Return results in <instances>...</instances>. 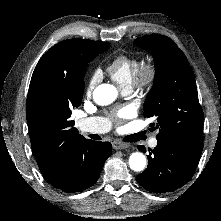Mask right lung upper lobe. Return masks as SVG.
Masks as SVG:
<instances>
[{
    "label": "right lung upper lobe",
    "instance_id": "1",
    "mask_svg": "<svg viewBox=\"0 0 221 221\" xmlns=\"http://www.w3.org/2000/svg\"><path fill=\"white\" fill-rule=\"evenodd\" d=\"M90 41L59 42L44 54L32 74L26 118L35 159L48 182L63 178L72 151L89 140L78 133L70 117L79 96L74 87L81 71L77 55Z\"/></svg>",
    "mask_w": 221,
    "mask_h": 221
}]
</instances>
